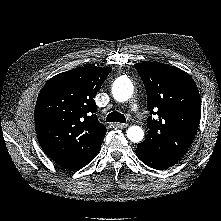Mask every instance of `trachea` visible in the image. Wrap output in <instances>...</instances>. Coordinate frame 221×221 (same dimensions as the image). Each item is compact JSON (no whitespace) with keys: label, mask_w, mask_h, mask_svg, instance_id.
<instances>
[{"label":"trachea","mask_w":221,"mask_h":221,"mask_svg":"<svg viewBox=\"0 0 221 221\" xmlns=\"http://www.w3.org/2000/svg\"><path fill=\"white\" fill-rule=\"evenodd\" d=\"M106 122H120V123H125L126 118L123 114L117 111H113L109 113L106 117Z\"/></svg>","instance_id":"obj_1"}]
</instances>
